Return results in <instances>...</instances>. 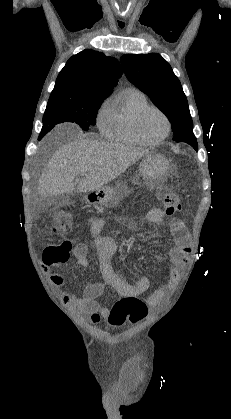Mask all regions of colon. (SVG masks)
<instances>
[{
  "instance_id": "1",
  "label": "colon",
  "mask_w": 231,
  "mask_h": 419,
  "mask_svg": "<svg viewBox=\"0 0 231 419\" xmlns=\"http://www.w3.org/2000/svg\"><path fill=\"white\" fill-rule=\"evenodd\" d=\"M163 205L165 214L168 217L174 216L181 208L179 197L166 191L163 193ZM173 224V223H172ZM72 216L68 212L60 213L51 225V231L56 234L68 232L72 229ZM72 245L69 241L50 245L43 252V261L47 266L65 263L69 257ZM147 314V307L144 301L136 297H123L116 301L108 314V322L113 327H121L127 321L133 324L142 320Z\"/></svg>"
}]
</instances>
